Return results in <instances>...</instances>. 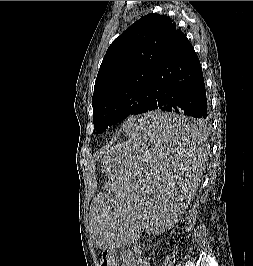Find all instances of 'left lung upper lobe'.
Listing matches in <instances>:
<instances>
[{
	"label": "left lung upper lobe",
	"instance_id": "left-lung-upper-lobe-1",
	"mask_svg": "<svg viewBox=\"0 0 253 266\" xmlns=\"http://www.w3.org/2000/svg\"><path fill=\"white\" fill-rule=\"evenodd\" d=\"M177 29L169 17L148 14L109 46L92 97L98 133L131 115L145 113L158 60Z\"/></svg>",
	"mask_w": 253,
	"mask_h": 266
}]
</instances>
